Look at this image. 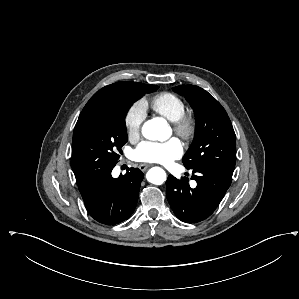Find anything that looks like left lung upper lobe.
<instances>
[{"instance_id": "obj_1", "label": "left lung upper lobe", "mask_w": 299, "mask_h": 299, "mask_svg": "<svg viewBox=\"0 0 299 299\" xmlns=\"http://www.w3.org/2000/svg\"><path fill=\"white\" fill-rule=\"evenodd\" d=\"M173 90L185 96L196 116L194 140L183 157L187 169L212 167L233 175L236 138L231 121L221 104L206 90L181 85Z\"/></svg>"}]
</instances>
